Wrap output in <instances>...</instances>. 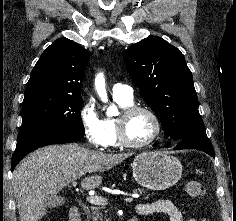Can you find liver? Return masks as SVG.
<instances>
[{"mask_svg":"<svg viewBox=\"0 0 236 221\" xmlns=\"http://www.w3.org/2000/svg\"><path fill=\"white\" fill-rule=\"evenodd\" d=\"M131 153L107 154L78 144L40 148L23 159L13 172V187L20 221H39L47 213L45 201L86 173L109 170ZM98 174L85 177L81 187L97 188Z\"/></svg>","mask_w":236,"mask_h":221,"instance_id":"1","label":"liver"}]
</instances>
